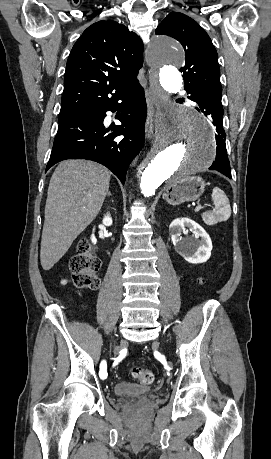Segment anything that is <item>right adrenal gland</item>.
I'll return each mask as SVG.
<instances>
[{
    "mask_svg": "<svg viewBox=\"0 0 271 459\" xmlns=\"http://www.w3.org/2000/svg\"><path fill=\"white\" fill-rule=\"evenodd\" d=\"M107 196H111V192H108Z\"/></svg>",
    "mask_w": 271,
    "mask_h": 459,
    "instance_id": "2a0ac1e0",
    "label": "right adrenal gland"
}]
</instances>
